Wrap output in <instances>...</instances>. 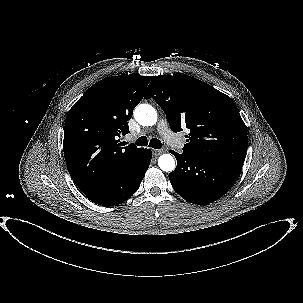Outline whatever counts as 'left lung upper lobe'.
I'll return each instance as SVG.
<instances>
[{
	"label": "left lung upper lobe",
	"mask_w": 303,
	"mask_h": 303,
	"mask_svg": "<svg viewBox=\"0 0 303 303\" xmlns=\"http://www.w3.org/2000/svg\"><path fill=\"white\" fill-rule=\"evenodd\" d=\"M145 97L161 106L174 132L185 126L190 129L183 153L244 162L247 127L233 100L224 93L190 76L159 75Z\"/></svg>",
	"instance_id": "obj_1"
}]
</instances>
